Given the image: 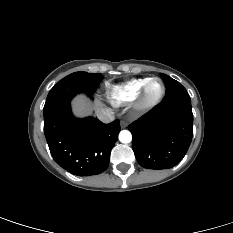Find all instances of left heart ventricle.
<instances>
[{
	"label": "left heart ventricle",
	"mask_w": 233,
	"mask_h": 233,
	"mask_svg": "<svg viewBox=\"0 0 233 233\" xmlns=\"http://www.w3.org/2000/svg\"><path fill=\"white\" fill-rule=\"evenodd\" d=\"M160 90H161L160 83L153 82L148 89V97L150 98L156 97L160 93Z\"/></svg>",
	"instance_id": "1"
}]
</instances>
